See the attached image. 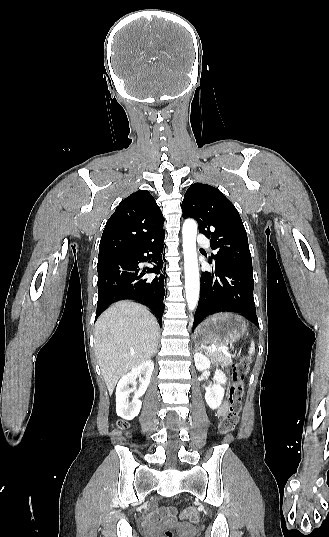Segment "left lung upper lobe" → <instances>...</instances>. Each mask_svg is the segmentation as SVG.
Masks as SVG:
<instances>
[{"mask_svg": "<svg viewBox=\"0 0 329 537\" xmlns=\"http://www.w3.org/2000/svg\"><path fill=\"white\" fill-rule=\"evenodd\" d=\"M184 217L194 218L199 232L210 239L215 262L253 272L247 233L234 205L218 189L194 183L182 202Z\"/></svg>", "mask_w": 329, "mask_h": 537, "instance_id": "left-lung-upper-lobe-1", "label": "left lung upper lobe"}]
</instances>
